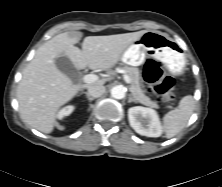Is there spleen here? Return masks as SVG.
<instances>
[{
	"label": "spleen",
	"mask_w": 222,
	"mask_h": 187,
	"mask_svg": "<svg viewBox=\"0 0 222 187\" xmlns=\"http://www.w3.org/2000/svg\"><path fill=\"white\" fill-rule=\"evenodd\" d=\"M195 101L193 96H184L178 108L166 113L163 117V129L166 138L176 136L188 123L194 110Z\"/></svg>",
	"instance_id": "spleen-1"
}]
</instances>
